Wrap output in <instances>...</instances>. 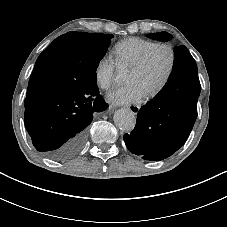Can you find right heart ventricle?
<instances>
[{
    "label": "right heart ventricle",
    "mask_w": 227,
    "mask_h": 227,
    "mask_svg": "<svg viewBox=\"0 0 227 227\" xmlns=\"http://www.w3.org/2000/svg\"><path fill=\"white\" fill-rule=\"evenodd\" d=\"M154 44V41L138 37L118 42L113 50L117 65L133 67Z\"/></svg>",
    "instance_id": "1"
}]
</instances>
